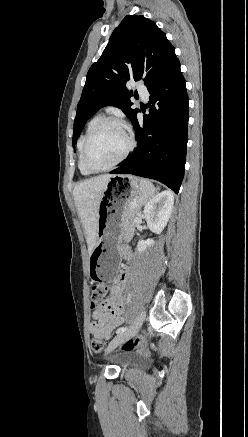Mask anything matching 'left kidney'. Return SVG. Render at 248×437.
<instances>
[{
    "label": "left kidney",
    "mask_w": 248,
    "mask_h": 437,
    "mask_svg": "<svg viewBox=\"0 0 248 437\" xmlns=\"http://www.w3.org/2000/svg\"><path fill=\"white\" fill-rule=\"evenodd\" d=\"M173 204L174 196L169 190L162 191L147 202L144 214L147 226L152 232L160 234L163 231L171 216ZM153 244V239L139 240L137 249L141 253Z\"/></svg>",
    "instance_id": "obj_1"
}]
</instances>
